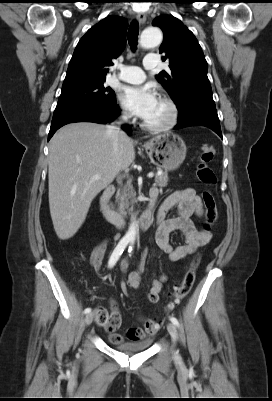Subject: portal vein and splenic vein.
Here are the masks:
<instances>
[{
    "mask_svg": "<svg viewBox=\"0 0 272 401\" xmlns=\"http://www.w3.org/2000/svg\"><path fill=\"white\" fill-rule=\"evenodd\" d=\"M153 176H154V174L152 172L147 175L148 178H153ZM94 178L98 179V178H100V176L99 175H95Z\"/></svg>",
    "mask_w": 272,
    "mask_h": 401,
    "instance_id": "1",
    "label": "portal vein and splenic vein"
}]
</instances>
